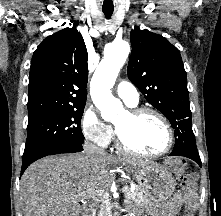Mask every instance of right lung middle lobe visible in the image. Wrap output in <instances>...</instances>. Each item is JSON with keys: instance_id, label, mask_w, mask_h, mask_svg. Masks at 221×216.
<instances>
[{"instance_id": "1", "label": "right lung middle lobe", "mask_w": 221, "mask_h": 216, "mask_svg": "<svg viewBox=\"0 0 221 216\" xmlns=\"http://www.w3.org/2000/svg\"><path fill=\"white\" fill-rule=\"evenodd\" d=\"M85 105L49 111L28 118L23 161L48 149L67 144H83L80 128Z\"/></svg>"}]
</instances>
